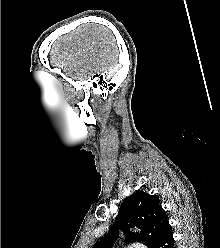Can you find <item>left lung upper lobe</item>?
<instances>
[{
	"mask_svg": "<svg viewBox=\"0 0 220 248\" xmlns=\"http://www.w3.org/2000/svg\"><path fill=\"white\" fill-rule=\"evenodd\" d=\"M168 225L159 198L138 192L124 199L115 224L94 248H110L117 240L119 229L125 234L127 243L142 241L148 248H154ZM134 226L141 228V232L131 233L129 228Z\"/></svg>",
	"mask_w": 220,
	"mask_h": 248,
	"instance_id": "obj_1",
	"label": "left lung upper lobe"
}]
</instances>
